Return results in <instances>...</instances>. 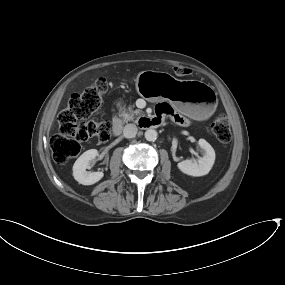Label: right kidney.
I'll return each instance as SVG.
<instances>
[{
  "label": "right kidney",
  "instance_id": "right-kidney-1",
  "mask_svg": "<svg viewBox=\"0 0 285 285\" xmlns=\"http://www.w3.org/2000/svg\"><path fill=\"white\" fill-rule=\"evenodd\" d=\"M98 155L96 149L85 151L73 165V177L76 181L83 185H92L102 179L103 172H88L86 169L89 167L90 161L95 159Z\"/></svg>",
  "mask_w": 285,
  "mask_h": 285
}]
</instances>
